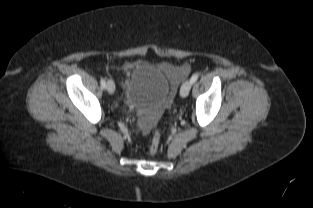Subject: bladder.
<instances>
[{"instance_id":"31cf9c89","label":"bladder","mask_w":313,"mask_h":208,"mask_svg":"<svg viewBox=\"0 0 313 208\" xmlns=\"http://www.w3.org/2000/svg\"><path fill=\"white\" fill-rule=\"evenodd\" d=\"M170 93V82L160 70L141 65L137 67L124 88L128 108L160 114L165 109Z\"/></svg>"}]
</instances>
